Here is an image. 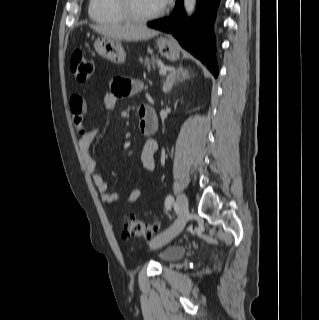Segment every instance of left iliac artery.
I'll return each mask as SVG.
<instances>
[{"instance_id":"1","label":"left iliac artery","mask_w":319,"mask_h":320,"mask_svg":"<svg viewBox=\"0 0 319 320\" xmlns=\"http://www.w3.org/2000/svg\"><path fill=\"white\" fill-rule=\"evenodd\" d=\"M173 202H174L173 196L168 195L165 199V207L167 210L171 208ZM160 235H162V233Z\"/></svg>"}]
</instances>
